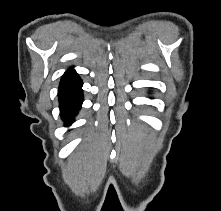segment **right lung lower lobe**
<instances>
[{"mask_svg":"<svg viewBox=\"0 0 221 211\" xmlns=\"http://www.w3.org/2000/svg\"><path fill=\"white\" fill-rule=\"evenodd\" d=\"M83 82L75 70H67L61 78L58 96L60 115L65 126L71 125L83 102Z\"/></svg>","mask_w":221,"mask_h":211,"instance_id":"1","label":"right lung lower lobe"}]
</instances>
